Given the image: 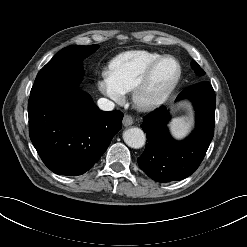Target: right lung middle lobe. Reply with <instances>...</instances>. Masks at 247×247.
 Masks as SVG:
<instances>
[{
  "instance_id": "obj_1",
  "label": "right lung middle lobe",
  "mask_w": 247,
  "mask_h": 247,
  "mask_svg": "<svg viewBox=\"0 0 247 247\" xmlns=\"http://www.w3.org/2000/svg\"><path fill=\"white\" fill-rule=\"evenodd\" d=\"M98 47L73 45L63 48L39 71L32 89L77 88L83 76L82 60Z\"/></svg>"
}]
</instances>
